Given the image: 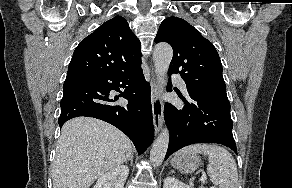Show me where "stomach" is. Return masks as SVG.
Wrapping results in <instances>:
<instances>
[{"instance_id": "stomach-1", "label": "stomach", "mask_w": 292, "mask_h": 188, "mask_svg": "<svg viewBox=\"0 0 292 188\" xmlns=\"http://www.w3.org/2000/svg\"><path fill=\"white\" fill-rule=\"evenodd\" d=\"M200 157L197 154H188L185 156L174 157L171 165L182 173H191L200 165Z\"/></svg>"}]
</instances>
